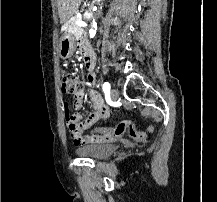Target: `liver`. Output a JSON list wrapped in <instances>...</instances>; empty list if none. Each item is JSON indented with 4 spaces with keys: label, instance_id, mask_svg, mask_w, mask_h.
Returning a JSON list of instances; mask_svg holds the SVG:
<instances>
[{
    "label": "liver",
    "instance_id": "1",
    "mask_svg": "<svg viewBox=\"0 0 217 202\" xmlns=\"http://www.w3.org/2000/svg\"><path fill=\"white\" fill-rule=\"evenodd\" d=\"M82 0H57L60 24L68 22L78 10Z\"/></svg>",
    "mask_w": 217,
    "mask_h": 202
}]
</instances>
